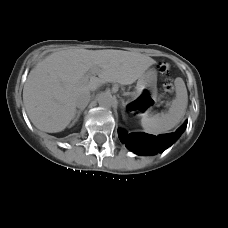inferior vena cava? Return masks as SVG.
Wrapping results in <instances>:
<instances>
[{
	"label": "inferior vena cava",
	"mask_w": 228,
	"mask_h": 228,
	"mask_svg": "<svg viewBox=\"0 0 228 228\" xmlns=\"http://www.w3.org/2000/svg\"><path fill=\"white\" fill-rule=\"evenodd\" d=\"M90 101V92L89 91H81L78 92L75 96V105L79 109H84Z\"/></svg>",
	"instance_id": "inferior-vena-cava-1"
}]
</instances>
